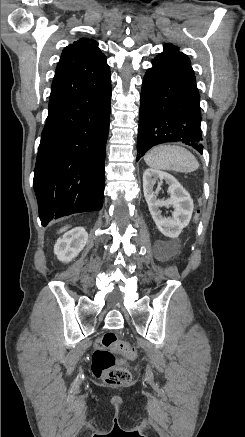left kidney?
<instances>
[{
	"label": "left kidney",
	"instance_id": "5707ae66",
	"mask_svg": "<svg viewBox=\"0 0 245 437\" xmlns=\"http://www.w3.org/2000/svg\"><path fill=\"white\" fill-rule=\"evenodd\" d=\"M158 179L160 180L158 186L162 184L163 180L169 184L168 192L170 193V198L165 201L158 199L156 196L157 191H153ZM143 190L150 214L159 231L164 236L170 238L178 237L189 224L192 217L194 205L189 193L174 176L152 168L146 169L143 174ZM162 206L173 207L172 218L162 216L160 210Z\"/></svg>",
	"mask_w": 245,
	"mask_h": 437
}]
</instances>
